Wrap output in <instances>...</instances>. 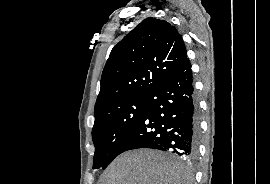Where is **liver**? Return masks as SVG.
<instances>
[{
	"label": "liver",
	"mask_w": 270,
	"mask_h": 184,
	"mask_svg": "<svg viewBox=\"0 0 270 184\" xmlns=\"http://www.w3.org/2000/svg\"><path fill=\"white\" fill-rule=\"evenodd\" d=\"M187 166L161 152L128 151L105 170L99 184H190Z\"/></svg>",
	"instance_id": "obj_1"
}]
</instances>
